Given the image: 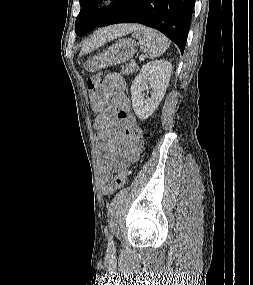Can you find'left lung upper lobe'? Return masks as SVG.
Segmentation results:
<instances>
[{
    "instance_id": "5c2ea615",
    "label": "left lung upper lobe",
    "mask_w": 253,
    "mask_h": 285,
    "mask_svg": "<svg viewBox=\"0 0 253 285\" xmlns=\"http://www.w3.org/2000/svg\"><path fill=\"white\" fill-rule=\"evenodd\" d=\"M79 2L81 10L76 18L75 32L76 35H86L101 24L109 10L97 12L96 4L98 0H79Z\"/></svg>"
}]
</instances>
